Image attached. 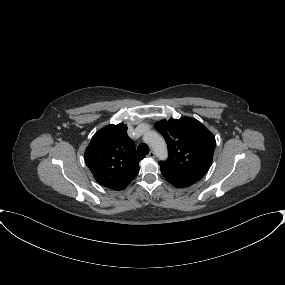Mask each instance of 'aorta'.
Segmentation results:
<instances>
[{"label":"aorta","mask_w":285,"mask_h":285,"mask_svg":"<svg viewBox=\"0 0 285 285\" xmlns=\"http://www.w3.org/2000/svg\"><path fill=\"white\" fill-rule=\"evenodd\" d=\"M144 141L153 149L159 159L165 160L168 157L166 142L158 133L155 131L147 132Z\"/></svg>","instance_id":"aorta-1"}]
</instances>
